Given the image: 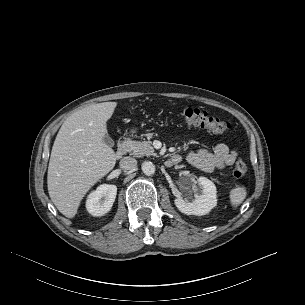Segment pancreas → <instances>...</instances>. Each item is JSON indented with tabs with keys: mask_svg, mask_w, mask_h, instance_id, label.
<instances>
[{
	"mask_svg": "<svg viewBox=\"0 0 305 305\" xmlns=\"http://www.w3.org/2000/svg\"><path fill=\"white\" fill-rule=\"evenodd\" d=\"M151 135L148 134L147 137ZM129 152L131 155L135 157H142V156H156L154 153V148L151 145V141H131L129 143Z\"/></svg>",
	"mask_w": 305,
	"mask_h": 305,
	"instance_id": "1",
	"label": "pancreas"
}]
</instances>
